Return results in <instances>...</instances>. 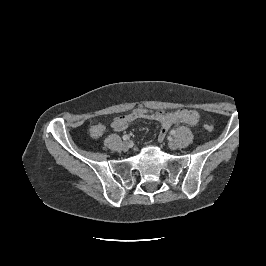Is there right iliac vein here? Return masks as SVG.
<instances>
[{"mask_svg":"<svg viewBox=\"0 0 266 266\" xmlns=\"http://www.w3.org/2000/svg\"><path fill=\"white\" fill-rule=\"evenodd\" d=\"M129 148H130V143H129L128 141H124V142L122 143V149H123L124 151H127Z\"/></svg>","mask_w":266,"mask_h":266,"instance_id":"63e3f726","label":"right iliac vein"}]
</instances>
